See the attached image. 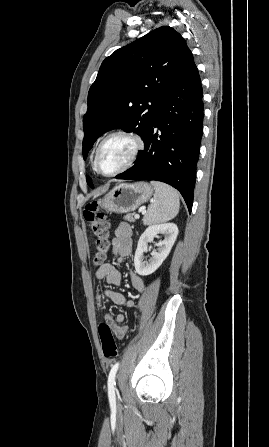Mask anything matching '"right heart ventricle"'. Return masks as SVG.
<instances>
[{
  "mask_svg": "<svg viewBox=\"0 0 269 447\" xmlns=\"http://www.w3.org/2000/svg\"><path fill=\"white\" fill-rule=\"evenodd\" d=\"M93 169L96 171V168H95V163H93Z\"/></svg>",
  "mask_w": 269,
  "mask_h": 447,
  "instance_id": "e07e8e85",
  "label": "right heart ventricle"
}]
</instances>
